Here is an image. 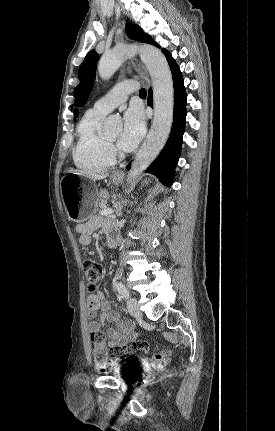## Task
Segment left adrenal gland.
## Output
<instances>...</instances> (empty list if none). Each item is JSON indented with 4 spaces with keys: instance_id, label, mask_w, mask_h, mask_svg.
<instances>
[{
    "instance_id": "left-adrenal-gland-1",
    "label": "left adrenal gland",
    "mask_w": 275,
    "mask_h": 431,
    "mask_svg": "<svg viewBox=\"0 0 275 431\" xmlns=\"http://www.w3.org/2000/svg\"><path fill=\"white\" fill-rule=\"evenodd\" d=\"M116 214L117 216H122V205L120 203L116 204Z\"/></svg>"
}]
</instances>
